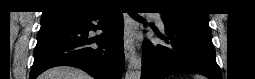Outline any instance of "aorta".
I'll return each instance as SVG.
<instances>
[{
	"label": "aorta",
	"instance_id": "obj_1",
	"mask_svg": "<svg viewBox=\"0 0 255 79\" xmlns=\"http://www.w3.org/2000/svg\"><path fill=\"white\" fill-rule=\"evenodd\" d=\"M141 69H142L141 57L137 54L132 55L127 67L125 79H140Z\"/></svg>",
	"mask_w": 255,
	"mask_h": 79
}]
</instances>
